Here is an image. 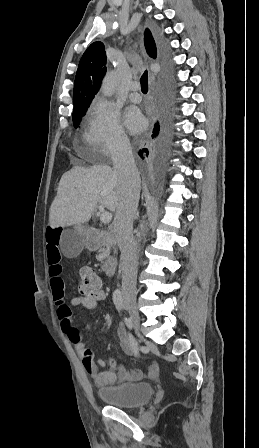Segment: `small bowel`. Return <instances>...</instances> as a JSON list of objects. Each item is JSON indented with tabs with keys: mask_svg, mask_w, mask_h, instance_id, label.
Wrapping results in <instances>:
<instances>
[{
	"mask_svg": "<svg viewBox=\"0 0 259 448\" xmlns=\"http://www.w3.org/2000/svg\"><path fill=\"white\" fill-rule=\"evenodd\" d=\"M61 236V227L49 226L46 230V260L49 267L52 296L57 308L56 312L61 329L74 344L77 353L82 359L83 367L91 377L94 385L100 388L120 382L138 381L144 377L156 378L159 374L157 363H152L147 372L144 373L137 369L127 370L123 365L117 363L113 357L108 358V364L112 370L102 371L101 368L106 366V362L104 360H95L92 352L86 348L79 330L73 325L70 306H81L89 310L95 309L105 299V293L102 291L98 295L79 294L73 297L69 304L65 301V284L61 277ZM117 337L124 354L132 356L134 354L133 346L127 338L122 324L118 325Z\"/></svg>",
	"mask_w": 259,
	"mask_h": 448,
	"instance_id": "c3829d8e",
	"label": "small bowel"
}]
</instances>
